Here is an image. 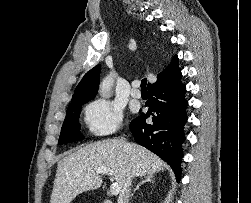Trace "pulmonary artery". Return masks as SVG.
Returning a JSON list of instances; mask_svg holds the SVG:
<instances>
[{
	"label": "pulmonary artery",
	"mask_w": 251,
	"mask_h": 203,
	"mask_svg": "<svg viewBox=\"0 0 251 203\" xmlns=\"http://www.w3.org/2000/svg\"><path fill=\"white\" fill-rule=\"evenodd\" d=\"M137 85H138V83L134 82L133 89L131 90V96L133 98L139 99V98H141V92L137 89Z\"/></svg>",
	"instance_id": "1"
}]
</instances>
